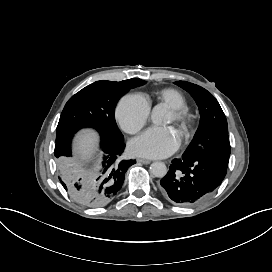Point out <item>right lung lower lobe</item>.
Returning <instances> with one entry per match:
<instances>
[{"label":"right lung lower lobe","instance_id":"1","mask_svg":"<svg viewBox=\"0 0 272 272\" xmlns=\"http://www.w3.org/2000/svg\"><path fill=\"white\" fill-rule=\"evenodd\" d=\"M73 135L56 142L54 154L60 168L59 180L64 189L81 204L99 207L110 203L120 192L127 169L135 160H124V138L112 141L101 135V168L95 177L84 178L76 171L79 165L72 159L71 141Z\"/></svg>","mask_w":272,"mask_h":272}]
</instances>
